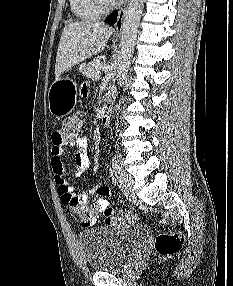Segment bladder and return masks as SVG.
Masks as SVG:
<instances>
[{
  "label": "bladder",
  "instance_id": "obj_1",
  "mask_svg": "<svg viewBox=\"0 0 233 286\" xmlns=\"http://www.w3.org/2000/svg\"><path fill=\"white\" fill-rule=\"evenodd\" d=\"M146 237L142 225L120 228L92 227L79 233V244L88 268L112 272L126 267Z\"/></svg>",
  "mask_w": 233,
  "mask_h": 286
}]
</instances>
